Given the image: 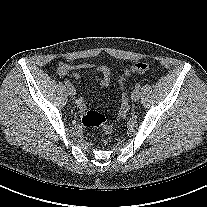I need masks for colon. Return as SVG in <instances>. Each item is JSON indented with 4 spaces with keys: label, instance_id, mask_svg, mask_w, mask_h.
I'll return each mask as SVG.
<instances>
[{
    "label": "colon",
    "instance_id": "1",
    "mask_svg": "<svg viewBox=\"0 0 207 207\" xmlns=\"http://www.w3.org/2000/svg\"><path fill=\"white\" fill-rule=\"evenodd\" d=\"M150 70V65L146 62H137L128 68H125L119 79V84L122 89V102L121 109L118 113V119L122 120L127 116L129 111V99L127 93L124 91V83L128 76L134 74H144ZM77 109L81 115V123L88 128H100L104 134H110L112 132L111 126L106 123L105 116L95 110H88L86 108V102L83 97H79L76 100Z\"/></svg>",
    "mask_w": 207,
    "mask_h": 207
}]
</instances>
